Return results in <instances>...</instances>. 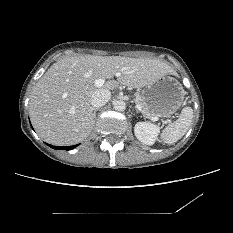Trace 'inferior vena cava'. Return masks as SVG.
<instances>
[{
	"label": "inferior vena cava",
	"mask_w": 233,
	"mask_h": 233,
	"mask_svg": "<svg viewBox=\"0 0 233 233\" xmlns=\"http://www.w3.org/2000/svg\"><path fill=\"white\" fill-rule=\"evenodd\" d=\"M110 98L111 92L108 89H99L92 94L91 105L94 108H100L104 106Z\"/></svg>",
	"instance_id": "602c4592"
}]
</instances>
